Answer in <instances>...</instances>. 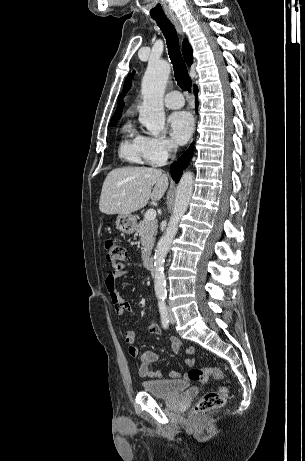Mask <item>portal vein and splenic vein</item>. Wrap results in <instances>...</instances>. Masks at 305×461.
<instances>
[{
    "mask_svg": "<svg viewBox=\"0 0 305 461\" xmlns=\"http://www.w3.org/2000/svg\"><path fill=\"white\" fill-rule=\"evenodd\" d=\"M156 218V211L154 209H149L145 213V219L146 220H154Z\"/></svg>",
    "mask_w": 305,
    "mask_h": 461,
    "instance_id": "obj_1",
    "label": "portal vein and splenic vein"
}]
</instances>
